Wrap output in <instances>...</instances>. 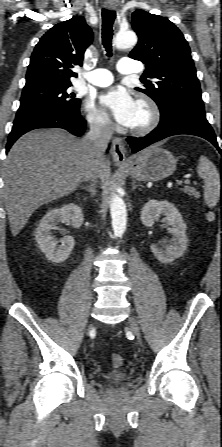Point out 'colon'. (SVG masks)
Listing matches in <instances>:
<instances>
[{"mask_svg":"<svg viewBox=\"0 0 222 447\" xmlns=\"http://www.w3.org/2000/svg\"><path fill=\"white\" fill-rule=\"evenodd\" d=\"M111 363L113 367H120L122 365V358L118 354H113L111 356Z\"/></svg>","mask_w":222,"mask_h":447,"instance_id":"1","label":"colon"}]
</instances>
